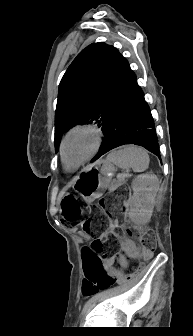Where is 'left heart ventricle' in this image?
I'll return each instance as SVG.
<instances>
[{
    "instance_id": "1",
    "label": "left heart ventricle",
    "mask_w": 193,
    "mask_h": 336,
    "mask_svg": "<svg viewBox=\"0 0 193 336\" xmlns=\"http://www.w3.org/2000/svg\"><path fill=\"white\" fill-rule=\"evenodd\" d=\"M93 134L87 131L73 133L65 144V157L67 162L74 166L85 159L94 147Z\"/></svg>"
}]
</instances>
